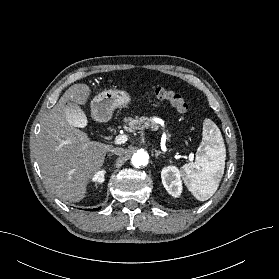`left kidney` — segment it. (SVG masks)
Listing matches in <instances>:
<instances>
[{
  "label": "left kidney",
  "instance_id": "1",
  "mask_svg": "<svg viewBox=\"0 0 279 279\" xmlns=\"http://www.w3.org/2000/svg\"><path fill=\"white\" fill-rule=\"evenodd\" d=\"M161 179L164 188L173 197H179L182 193L181 174L177 167L167 166L161 171Z\"/></svg>",
  "mask_w": 279,
  "mask_h": 279
}]
</instances>
